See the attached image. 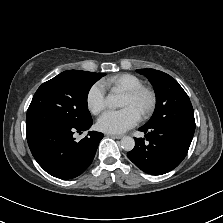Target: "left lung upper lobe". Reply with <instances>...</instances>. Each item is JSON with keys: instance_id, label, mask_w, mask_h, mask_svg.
<instances>
[{"instance_id": "obj_1", "label": "left lung upper lobe", "mask_w": 223, "mask_h": 223, "mask_svg": "<svg viewBox=\"0 0 223 223\" xmlns=\"http://www.w3.org/2000/svg\"><path fill=\"white\" fill-rule=\"evenodd\" d=\"M154 87L156 109L145 126L171 125L195 130L194 111L190 99L170 75L155 69H137Z\"/></svg>"}]
</instances>
